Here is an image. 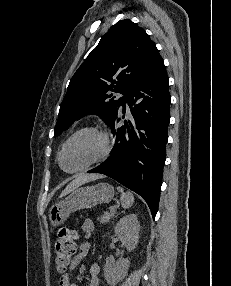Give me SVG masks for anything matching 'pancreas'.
<instances>
[{
	"instance_id": "1",
	"label": "pancreas",
	"mask_w": 231,
	"mask_h": 286,
	"mask_svg": "<svg viewBox=\"0 0 231 286\" xmlns=\"http://www.w3.org/2000/svg\"><path fill=\"white\" fill-rule=\"evenodd\" d=\"M115 212H104L103 215L100 217V222L101 223H108L110 219L114 216Z\"/></svg>"
}]
</instances>
